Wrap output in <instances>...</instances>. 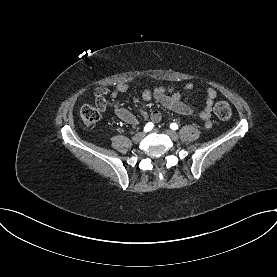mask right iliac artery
Wrapping results in <instances>:
<instances>
[{"instance_id": "82829eb1", "label": "right iliac artery", "mask_w": 277, "mask_h": 277, "mask_svg": "<svg viewBox=\"0 0 277 277\" xmlns=\"http://www.w3.org/2000/svg\"><path fill=\"white\" fill-rule=\"evenodd\" d=\"M153 126H154V125H153L152 122L147 123V124L145 125V127H144V131H145V132H148V131L152 130Z\"/></svg>"}]
</instances>
